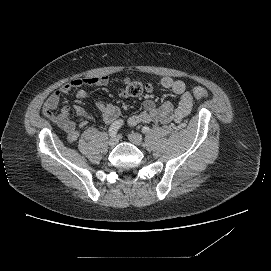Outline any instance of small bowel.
Returning a JSON list of instances; mask_svg holds the SVG:
<instances>
[{
    "label": "small bowel",
    "instance_id": "small-bowel-1",
    "mask_svg": "<svg viewBox=\"0 0 271 271\" xmlns=\"http://www.w3.org/2000/svg\"><path fill=\"white\" fill-rule=\"evenodd\" d=\"M109 82L107 76L77 78L70 82L61 85L55 90L45 101L43 106V114L46 118L57 124L62 130L65 131L68 141H76L79 137L80 130L85 127L88 121L93 120V116L86 112L82 107L75 106V113L82 119L78 122L70 118V107L67 105H60L61 97L75 91L78 99H85L88 95L87 91L83 89L84 86H105ZM124 85L120 90L123 97H128L127 86L130 79L125 77L122 79ZM161 86L170 90L176 96H179L177 105L171 102H164L157 106L151 99H146L143 102V110L140 113L134 114L128 119L130 126H136L141 123H179L185 119L193 108V95L191 91L186 89L184 82L174 80L171 77H163L160 81ZM97 109L101 112L102 117L106 123H112L119 117L120 109L118 106L109 102H98ZM59 111L57 115L54 111ZM113 122V123H114Z\"/></svg>",
    "mask_w": 271,
    "mask_h": 271
}]
</instances>
